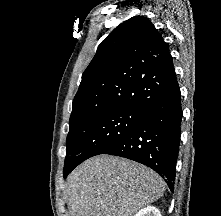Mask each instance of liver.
Segmentation results:
<instances>
[{
  "label": "liver",
  "instance_id": "1",
  "mask_svg": "<svg viewBox=\"0 0 221 216\" xmlns=\"http://www.w3.org/2000/svg\"><path fill=\"white\" fill-rule=\"evenodd\" d=\"M165 182L152 169L113 156H96L66 182L69 216H133L163 196Z\"/></svg>",
  "mask_w": 221,
  "mask_h": 216
}]
</instances>
